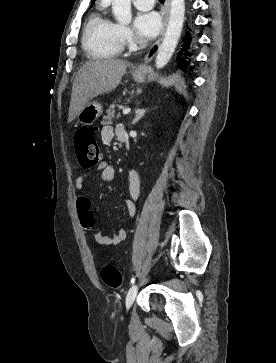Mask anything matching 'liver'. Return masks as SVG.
I'll return each instance as SVG.
<instances>
[{
  "mask_svg": "<svg viewBox=\"0 0 276 363\" xmlns=\"http://www.w3.org/2000/svg\"><path fill=\"white\" fill-rule=\"evenodd\" d=\"M130 64L118 59L88 61L78 71L73 86L68 122L98 95L113 91Z\"/></svg>",
  "mask_w": 276,
  "mask_h": 363,
  "instance_id": "liver-1",
  "label": "liver"
}]
</instances>
